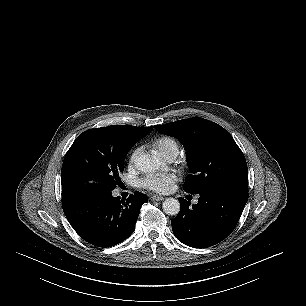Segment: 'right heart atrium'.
I'll use <instances>...</instances> for the list:
<instances>
[{
    "label": "right heart atrium",
    "instance_id": "d8ad5b80",
    "mask_svg": "<svg viewBox=\"0 0 306 306\" xmlns=\"http://www.w3.org/2000/svg\"><path fill=\"white\" fill-rule=\"evenodd\" d=\"M141 151H142L141 147H137L132 151V153L129 157V165L130 166H135V164L137 162V159H138L139 155L141 154Z\"/></svg>",
    "mask_w": 306,
    "mask_h": 306
}]
</instances>
